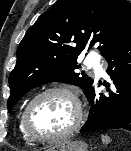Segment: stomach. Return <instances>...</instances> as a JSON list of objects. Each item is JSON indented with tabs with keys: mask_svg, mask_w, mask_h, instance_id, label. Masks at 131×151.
<instances>
[{
	"mask_svg": "<svg viewBox=\"0 0 131 151\" xmlns=\"http://www.w3.org/2000/svg\"><path fill=\"white\" fill-rule=\"evenodd\" d=\"M46 151H88V145L83 141L68 140L54 145Z\"/></svg>",
	"mask_w": 131,
	"mask_h": 151,
	"instance_id": "1",
	"label": "stomach"
}]
</instances>
